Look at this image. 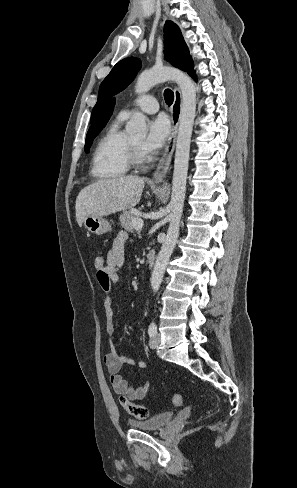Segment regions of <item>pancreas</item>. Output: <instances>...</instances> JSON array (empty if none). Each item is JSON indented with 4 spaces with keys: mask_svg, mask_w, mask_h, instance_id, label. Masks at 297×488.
<instances>
[{
    "mask_svg": "<svg viewBox=\"0 0 297 488\" xmlns=\"http://www.w3.org/2000/svg\"><path fill=\"white\" fill-rule=\"evenodd\" d=\"M135 218H137V214H135V212H133L132 210L123 212L119 217L120 226L127 231H133L135 228L132 224V221Z\"/></svg>",
    "mask_w": 297,
    "mask_h": 488,
    "instance_id": "cf45deb5",
    "label": "pancreas"
}]
</instances>
